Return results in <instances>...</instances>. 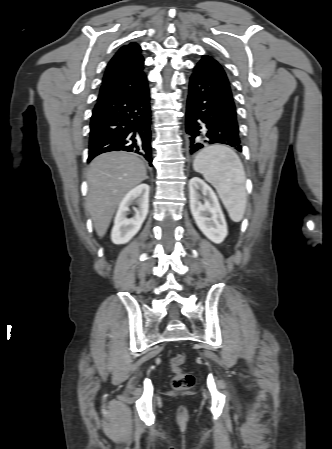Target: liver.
Returning <instances> with one entry per match:
<instances>
[{
    "instance_id": "1",
    "label": "liver",
    "mask_w": 332,
    "mask_h": 449,
    "mask_svg": "<svg viewBox=\"0 0 332 449\" xmlns=\"http://www.w3.org/2000/svg\"><path fill=\"white\" fill-rule=\"evenodd\" d=\"M145 179L144 162L127 152L104 153L90 163L86 210L99 237L106 234L113 214L126 193Z\"/></svg>"
}]
</instances>
